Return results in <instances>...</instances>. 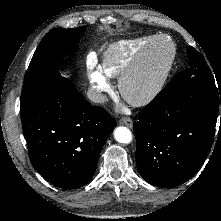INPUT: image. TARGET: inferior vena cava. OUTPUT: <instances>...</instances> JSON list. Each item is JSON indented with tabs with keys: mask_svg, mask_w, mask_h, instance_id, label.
<instances>
[{
	"mask_svg": "<svg viewBox=\"0 0 221 221\" xmlns=\"http://www.w3.org/2000/svg\"><path fill=\"white\" fill-rule=\"evenodd\" d=\"M87 97L89 98L90 101L95 102V103H105L107 101L106 95L98 92L97 90L94 89H89L87 91Z\"/></svg>",
	"mask_w": 221,
	"mask_h": 221,
	"instance_id": "602c4592",
	"label": "inferior vena cava"
}]
</instances>
